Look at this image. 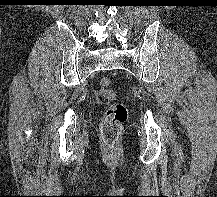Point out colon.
Here are the masks:
<instances>
[{"label": "colon", "mask_w": 217, "mask_h": 197, "mask_svg": "<svg viewBox=\"0 0 217 197\" xmlns=\"http://www.w3.org/2000/svg\"><path fill=\"white\" fill-rule=\"evenodd\" d=\"M100 95L109 100L113 101L115 99L114 92L110 89L111 79L108 77H103L100 82ZM128 118V111L125 105L120 103H112L106 110L101 126V138L103 144L108 150H113L122 135L123 124Z\"/></svg>", "instance_id": "5ec220e1"}]
</instances>
